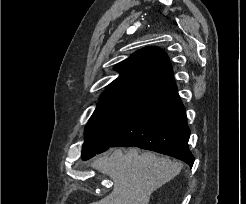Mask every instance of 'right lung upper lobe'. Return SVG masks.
Here are the masks:
<instances>
[{
    "label": "right lung upper lobe",
    "mask_w": 246,
    "mask_h": 204,
    "mask_svg": "<svg viewBox=\"0 0 246 204\" xmlns=\"http://www.w3.org/2000/svg\"><path fill=\"white\" fill-rule=\"evenodd\" d=\"M120 73L100 97V101L132 99L173 80L168 56L158 47H145L114 68Z\"/></svg>",
    "instance_id": "right-lung-upper-lobe-1"
}]
</instances>
